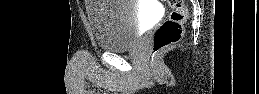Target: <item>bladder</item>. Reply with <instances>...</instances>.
Listing matches in <instances>:
<instances>
[{"label": "bladder", "mask_w": 259, "mask_h": 94, "mask_svg": "<svg viewBox=\"0 0 259 94\" xmlns=\"http://www.w3.org/2000/svg\"><path fill=\"white\" fill-rule=\"evenodd\" d=\"M87 18L97 46L109 52L132 49L144 23L134 0L88 1Z\"/></svg>", "instance_id": "obj_1"}]
</instances>
